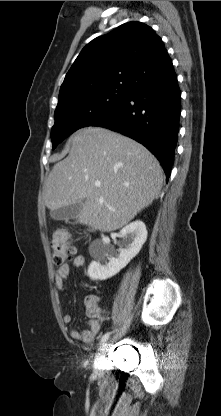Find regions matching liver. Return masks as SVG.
Returning <instances> with one entry per match:
<instances>
[{
	"instance_id": "obj_1",
	"label": "liver",
	"mask_w": 221,
	"mask_h": 416,
	"mask_svg": "<svg viewBox=\"0 0 221 416\" xmlns=\"http://www.w3.org/2000/svg\"><path fill=\"white\" fill-rule=\"evenodd\" d=\"M70 142L69 155L53 166L44 185L51 211L81 203L78 222L110 232L159 197L163 170L142 144L101 127L80 129Z\"/></svg>"
}]
</instances>
